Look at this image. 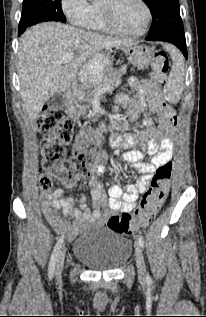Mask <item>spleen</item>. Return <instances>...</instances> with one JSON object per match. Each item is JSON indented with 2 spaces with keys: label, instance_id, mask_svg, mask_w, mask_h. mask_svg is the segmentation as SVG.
<instances>
[{
  "label": "spleen",
  "instance_id": "spleen-1",
  "mask_svg": "<svg viewBox=\"0 0 206 317\" xmlns=\"http://www.w3.org/2000/svg\"><path fill=\"white\" fill-rule=\"evenodd\" d=\"M164 48L172 58V68L168 80L164 85V98L171 104L178 103L184 88L185 66L182 54L174 46L165 44Z\"/></svg>",
  "mask_w": 206,
  "mask_h": 317
}]
</instances>
